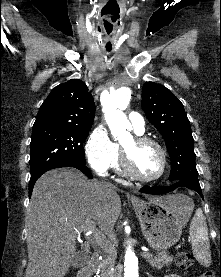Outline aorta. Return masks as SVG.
Listing matches in <instances>:
<instances>
[{"instance_id": "aorta-1", "label": "aorta", "mask_w": 221, "mask_h": 277, "mask_svg": "<svg viewBox=\"0 0 221 277\" xmlns=\"http://www.w3.org/2000/svg\"><path fill=\"white\" fill-rule=\"evenodd\" d=\"M130 99L131 90L122 87L112 93L103 106L111 133L120 141L130 136L131 124L123 113ZM124 277H139V259L130 241H127L125 245Z\"/></svg>"}]
</instances>
